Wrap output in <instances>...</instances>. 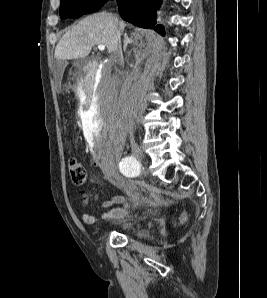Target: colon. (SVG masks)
I'll return each instance as SVG.
<instances>
[{"instance_id":"colon-1","label":"colon","mask_w":267,"mask_h":298,"mask_svg":"<svg viewBox=\"0 0 267 298\" xmlns=\"http://www.w3.org/2000/svg\"><path fill=\"white\" fill-rule=\"evenodd\" d=\"M68 170L73 184L83 185L86 182L87 170L78 160L71 158L68 161ZM186 218V214L182 213L175 219V223L181 225L185 223Z\"/></svg>"}]
</instances>
